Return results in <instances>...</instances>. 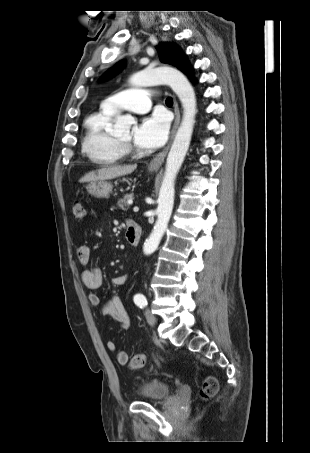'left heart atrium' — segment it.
Wrapping results in <instances>:
<instances>
[{"label": "left heart atrium", "instance_id": "1", "mask_svg": "<svg viewBox=\"0 0 310 453\" xmlns=\"http://www.w3.org/2000/svg\"><path fill=\"white\" fill-rule=\"evenodd\" d=\"M169 131V121L164 114H153L144 117L134 128V144L145 150H154L166 140Z\"/></svg>", "mask_w": 310, "mask_h": 453}]
</instances>
